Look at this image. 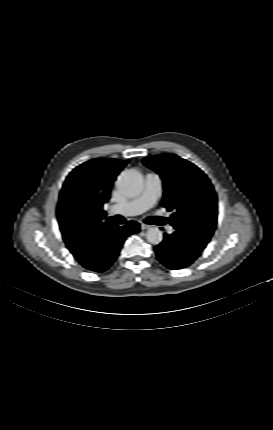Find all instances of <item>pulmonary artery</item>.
Here are the masks:
<instances>
[{
	"instance_id": "1",
	"label": "pulmonary artery",
	"mask_w": 273,
	"mask_h": 430,
	"mask_svg": "<svg viewBox=\"0 0 273 430\" xmlns=\"http://www.w3.org/2000/svg\"><path fill=\"white\" fill-rule=\"evenodd\" d=\"M162 181L159 175L150 173L146 176L143 192L133 200L115 204L111 207L112 213H120L126 216L138 215L151 208L161 196ZM173 227H168L172 233Z\"/></svg>"
}]
</instances>
